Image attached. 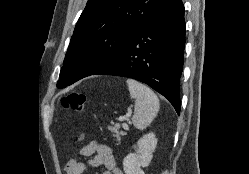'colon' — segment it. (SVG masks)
Masks as SVG:
<instances>
[{
	"label": "colon",
	"instance_id": "1",
	"mask_svg": "<svg viewBox=\"0 0 249 174\" xmlns=\"http://www.w3.org/2000/svg\"><path fill=\"white\" fill-rule=\"evenodd\" d=\"M86 104V95L80 91H72L62 97L61 106L65 110H71L77 114L82 113ZM78 139V138H76Z\"/></svg>",
	"mask_w": 249,
	"mask_h": 174
}]
</instances>
